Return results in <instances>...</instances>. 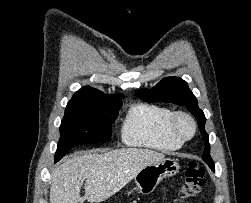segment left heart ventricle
Listing matches in <instances>:
<instances>
[{"instance_id":"obj_1","label":"left heart ventricle","mask_w":251,"mask_h":203,"mask_svg":"<svg viewBox=\"0 0 251 203\" xmlns=\"http://www.w3.org/2000/svg\"><path fill=\"white\" fill-rule=\"evenodd\" d=\"M180 129L183 133H189L191 128H190V125L187 121L182 120L180 122Z\"/></svg>"}]
</instances>
